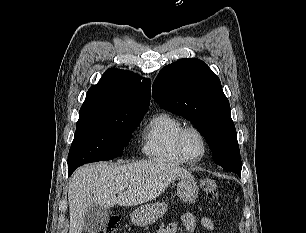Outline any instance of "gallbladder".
Masks as SVG:
<instances>
[{
	"label": "gallbladder",
	"mask_w": 306,
	"mask_h": 233,
	"mask_svg": "<svg viewBox=\"0 0 306 233\" xmlns=\"http://www.w3.org/2000/svg\"><path fill=\"white\" fill-rule=\"evenodd\" d=\"M109 220V211L100 205L91 206L84 215L83 230L86 233H99Z\"/></svg>",
	"instance_id": "1"
}]
</instances>
